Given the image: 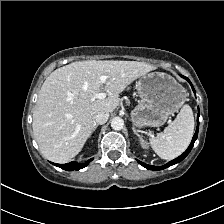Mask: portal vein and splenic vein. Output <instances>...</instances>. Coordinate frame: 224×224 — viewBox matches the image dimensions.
Segmentation results:
<instances>
[{
    "label": "portal vein and splenic vein",
    "mask_w": 224,
    "mask_h": 224,
    "mask_svg": "<svg viewBox=\"0 0 224 224\" xmlns=\"http://www.w3.org/2000/svg\"><path fill=\"white\" fill-rule=\"evenodd\" d=\"M107 78H108L107 76L102 75L100 77V81L104 84L107 81ZM105 97H106V93L105 92H100V93L96 94L94 98L104 99Z\"/></svg>",
    "instance_id": "1"
}]
</instances>
